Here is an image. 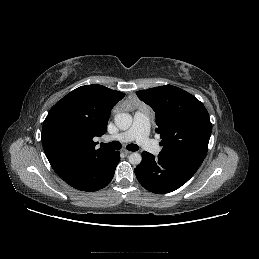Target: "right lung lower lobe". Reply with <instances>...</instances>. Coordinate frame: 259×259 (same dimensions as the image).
Masks as SVG:
<instances>
[{"mask_svg": "<svg viewBox=\"0 0 259 259\" xmlns=\"http://www.w3.org/2000/svg\"><path fill=\"white\" fill-rule=\"evenodd\" d=\"M119 160L120 152L113 151L107 158L84 165L62 179L78 190L97 191L110 183Z\"/></svg>", "mask_w": 259, "mask_h": 259, "instance_id": "1", "label": "right lung lower lobe"}]
</instances>
